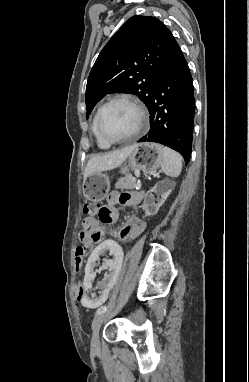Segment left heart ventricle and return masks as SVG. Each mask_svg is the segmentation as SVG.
Instances as JSON below:
<instances>
[{"label":"left heart ventricle","mask_w":249,"mask_h":382,"mask_svg":"<svg viewBox=\"0 0 249 382\" xmlns=\"http://www.w3.org/2000/svg\"><path fill=\"white\" fill-rule=\"evenodd\" d=\"M138 121L139 115L133 106L125 102H115L103 111L101 126L109 137L121 138L132 134Z\"/></svg>","instance_id":"left-heart-ventricle-1"}]
</instances>
